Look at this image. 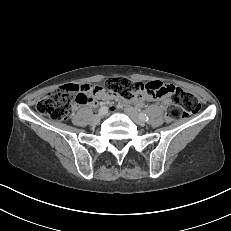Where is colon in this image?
Wrapping results in <instances>:
<instances>
[{
	"instance_id": "1",
	"label": "colon",
	"mask_w": 231,
	"mask_h": 231,
	"mask_svg": "<svg viewBox=\"0 0 231 231\" xmlns=\"http://www.w3.org/2000/svg\"><path fill=\"white\" fill-rule=\"evenodd\" d=\"M163 86L164 83L159 81L144 84L122 77H111L106 80L104 89L131 100L144 90L161 93L163 92ZM171 95L172 102L168 104L166 109V119L168 121H177L186 114L195 113L200 109L199 101L189 92L173 87L171 88ZM87 99L78 85L67 84L42 96L36 104V109L43 116L56 121H63L70 116L73 102L83 104Z\"/></svg>"
}]
</instances>
